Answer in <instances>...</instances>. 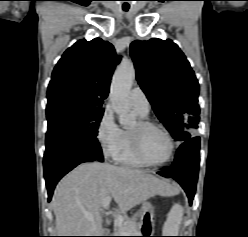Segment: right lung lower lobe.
Returning <instances> with one entry per match:
<instances>
[{
	"label": "right lung lower lobe",
	"instance_id": "98d812e1",
	"mask_svg": "<svg viewBox=\"0 0 248 237\" xmlns=\"http://www.w3.org/2000/svg\"><path fill=\"white\" fill-rule=\"evenodd\" d=\"M94 160L103 162L102 150L97 138L47 132L43 166L49 200L57 182L66 173L80 163Z\"/></svg>",
	"mask_w": 248,
	"mask_h": 237
}]
</instances>
